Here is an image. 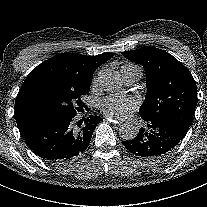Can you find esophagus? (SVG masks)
I'll return each instance as SVG.
<instances>
[{
  "instance_id": "1",
  "label": "esophagus",
  "mask_w": 207,
  "mask_h": 207,
  "mask_svg": "<svg viewBox=\"0 0 207 207\" xmlns=\"http://www.w3.org/2000/svg\"><path fill=\"white\" fill-rule=\"evenodd\" d=\"M105 118L108 120V125L110 127H116L118 125V120L111 116H105Z\"/></svg>"
}]
</instances>
